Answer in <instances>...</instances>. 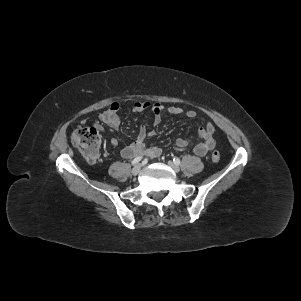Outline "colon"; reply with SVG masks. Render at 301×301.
<instances>
[{
	"mask_svg": "<svg viewBox=\"0 0 301 301\" xmlns=\"http://www.w3.org/2000/svg\"><path fill=\"white\" fill-rule=\"evenodd\" d=\"M73 145L88 162H96L99 157V132L94 127H79L72 135ZM214 163L219 162L220 153L215 150L211 155Z\"/></svg>",
	"mask_w": 301,
	"mask_h": 301,
	"instance_id": "obj_1",
	"label": "colon"
}]
</instances>
